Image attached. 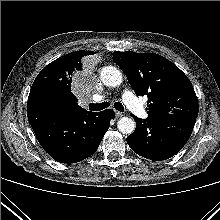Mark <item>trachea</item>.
<instances>
[{
  "label": "trachea",
  "mask_w": 220,
  "mask_h": 220,
  "mask_svg": "<svg viewBox=\"0 0 220 220\" xmlns=\"http://www.w3.org/2000/svg\"><path fill=\"white\" fill-rule=\"evenodd\" d=\"M109 106V103L108 102H103V103H100V104H90L89 105V110L91 111H100L106 107ZM114 108L120 112H123L124 111V107L123 105L120 103V102H115L114 103Z\"/></svg>",
  "instance_id": "3493384b"
}]
</instances>
